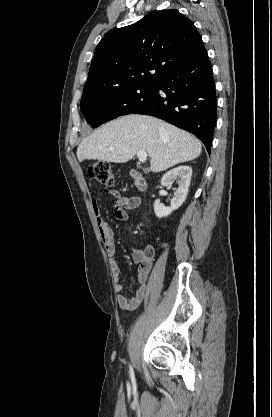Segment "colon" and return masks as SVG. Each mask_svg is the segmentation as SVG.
<instances>
[{
    "label": "colon",
    "mask_w": 272,
    "mask_h": 417,
    "mask_svg": "<svg viewBox=\"0 0 272 417\" xmlns=\"http://www.w3.org/2000/svg\"><path fill=\"white\" fill-rule=\"evenodd\" d=\"M89 175L97 182L104 185L113 183V169L111 165L105 161H93L88 165Z\"/></svg>",
    "instance_id": "colon-1"
}]
</instances>
